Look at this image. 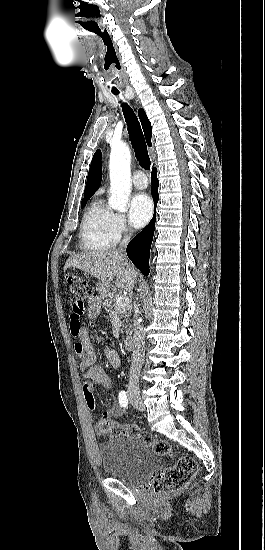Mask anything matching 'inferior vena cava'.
<instances>
[{
    "mask_svg": "<svg viewBox=\"0 0 265 550\" xmlns=\"http://www.w3.org/2000/svg\"><path fill=\"white\" fill-rule=\"evenodd\" d=\"M130 241V235L125 236L121 242V247L117 250L118 253L122 254L124 248ZM134 333H133V350H132V362L130 367L129 380L131 383H138L139 373L144 362V353H145V332L143 325L138 320V311L135 312L134 320Z\"/></svg>",
    "mask_w": 265,
    "mask_h": 550,
    "instance_id": "1",
    "label": "inferior vena cava"
}]
</instances>
